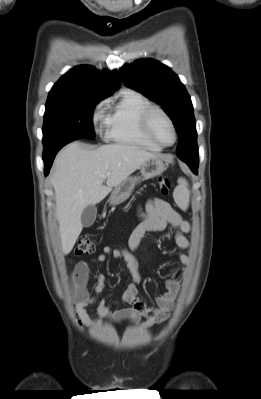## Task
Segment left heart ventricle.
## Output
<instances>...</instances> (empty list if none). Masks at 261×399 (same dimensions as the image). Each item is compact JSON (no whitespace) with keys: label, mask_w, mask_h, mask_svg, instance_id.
I'll use <instances>...</instances> for the list:
<instances>
[{"label":"left heart ventricle","mask_w":261,"mask_h":399,"mask_svg":"<svg viewBox=\"0 0 261 399\" xmlns=\"http://www.w3.org/2000/svg\"><path fill=\"white\" fill-rule=\"evenodd\" d=\"M151 128L154 136L163 144L173 141V131L168 121L160 113H154L151 118Z\"/></svg>","instance_id":"obj_1"}]
</instances>
